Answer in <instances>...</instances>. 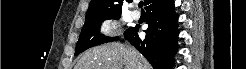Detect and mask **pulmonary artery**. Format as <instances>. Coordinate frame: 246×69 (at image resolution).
<instances>
[{
	"instance_id": "pulmonary-artery-1",
	"label": "pulmonary artery",
	"mask_w": 246,
	"mask_h": 69,
	"mask_svg": "<svg viewBox=\"0 0 246 69\" xmlns=\"http://www.w3.org/2000/svg\"><path fill=\"white\" fill-rule=\"evenodd\" d=\"M131 15L134 19H138L140 17V12L135 10V11H132Z\"/></svg>"
}]
</instances>
